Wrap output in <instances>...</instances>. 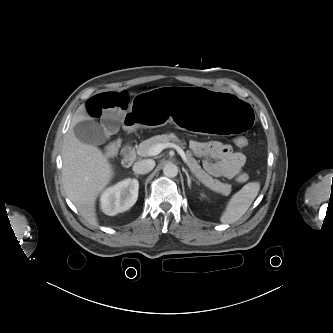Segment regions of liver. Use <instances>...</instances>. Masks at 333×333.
Segmentation results:
<instances>
[{"mask_svg":"<svg viewBox=\"0 0 333 333\" xmlns=\"http://www.w3.org/2000/svg\"><path fill=\"white\" fill-rule=\"evenodd\" d=\"M91 117L84 105L73 115L62 145V182L67 197L92 225H97L95 203L113 177V169L102 151L77 139L73 127Z\"/></svg>","mask_w":333,"mask_h":333,"instance_id":"obj_1","label":"liver"}]
</instances>
